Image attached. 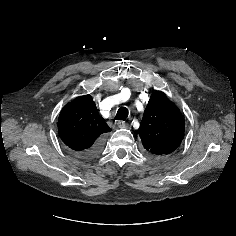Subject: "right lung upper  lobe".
I'll return each mask as SVG.
<instances>
[{
  "mask_svg": "<svg viewBox=\"0 0 236 236\" xmlns=\"http://www.w3.org/2000/svg\"><path fill=\"white\" fill-rule=\"evenodd\" d=\"M111 131L90 95L75 98L63 107L58 118L61 140L76 152L91 148L102 134Z\"/></svg>",
  "mask_w": 236,
  "mask_h": 236,
  "instance_id": "obj_1",
  "label": "right lung upper lobe"
}]
</instances>
